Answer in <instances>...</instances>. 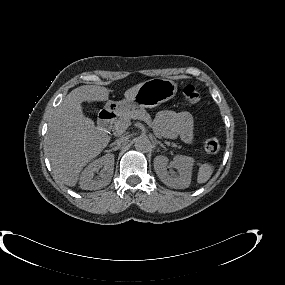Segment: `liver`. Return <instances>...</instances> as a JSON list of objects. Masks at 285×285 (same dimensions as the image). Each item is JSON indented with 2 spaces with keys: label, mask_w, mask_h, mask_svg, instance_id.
Returning a JSON list of instances; mask_svg holds the SVG:
<instances>
[{
  "label": "liver",
  "mask_w": 285,
  "mask_h": 285,
  "mask_svg": "<svg viewBox=\"0 0 285 285\" xmlns=\"http://www.w3.org/2000/svg\"><path fill=\"white\" fill-rule=\"evenodd\" d=\"M142 83L125 91L131 99ZM110 90L98 85H83L72 90L57 107L45 138V151L54 174L74 187L82 168L99 155L110 141L94 122L85 117L82 102L109 101Z\"/></svg>",
  "instance_id": "liver-1"
}]
</instances>
